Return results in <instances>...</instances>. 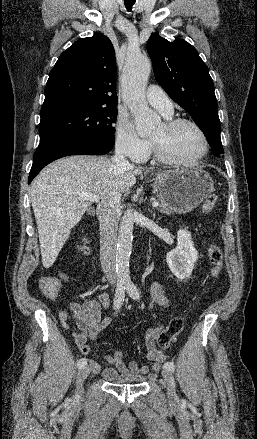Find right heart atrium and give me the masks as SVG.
<instances>
[{
  "instance_id": "right-heart-atrium-1",
  "label": "right heart atrium",
  "mask_w": 257,
  "mask_h": 439,
  "mask_svg": "<svg viewBox=\"0 0 257 439\" xmlns=\"http://www.w3.org/2000/svg\"><path fill=\"white\" fill-rule=\"evenodd\" d=\"M114 138L117 153L131 160H144L150 152L149 140L137 133L127 117H118Z\"/></svg>"
}]
</instances>
